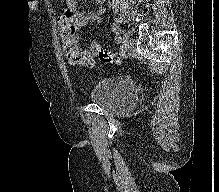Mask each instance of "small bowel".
Listing matches in <instances>:
<instances>
[{
    "instance_id": "1",
    "label": "small bowel",
    "mask_w": 219,
    "mask_h": 192,
    "mask_svg": "<svg viewBox=\"0 0 219 192\" xmlns=\"http://www.w3.org/2000/svg\"><path fill=\"white\" fill-rule=\"evenodd\" d=\"M60 1L65 3L64 10L58 16V25L61 32V37L63 39L68 33H71L74 35L77 44L79 43L80 39L76 33L88 22L99 23L101 21V15L106 11L104 6L105 0H94V3L98 7L94 12L88 14H85L82 10L79 9L78 3L80 0Z\"/></svg>"
}]
</instances>
